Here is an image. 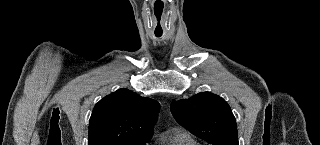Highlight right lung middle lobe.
Masks as SVG:
<instances>
[{
  "mask_svg": "<svg viewBox=\"0 0 320 145\" xmlns=\"http://www.w3.org/2000/svg\"><path fill=\"white\" fill-rule=\"evenodd\" d=\"M108 145H125V144H108ZM139 145H143V144H139Z\"/></svg>",
  "mask_w": 320,
  "mask_h": 145,
  "instance_id": "obj_1",
  "label": "right lung middle lobe"
}]
</instances>
